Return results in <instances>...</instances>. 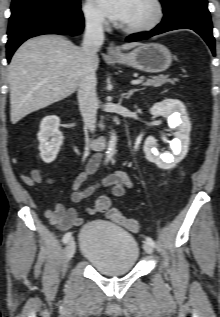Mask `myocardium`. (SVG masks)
I'll return each instance as SVG.
<instances>
[{
  "label": "myocardium",
  "instance_id": "f54148a6",
  "mask_svg": "<svg viewBox=\"0 0 220 317\" xmlns=\"http://www.w3.org/2000/svg\"><path fill=\"white\" fill-rule=\"evenodd\" d=\"M150 2L154 7L153 17L149 21L142 24L132 26L122 25L121 28L124 32L130 34L144 33L153 30L161 23L165 14L164 4L162 0H150Z\"/></svg>",
  "mask_w": 220,
  "mask_h": 317
}]
</instances>
